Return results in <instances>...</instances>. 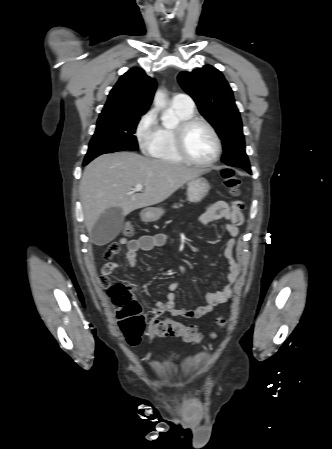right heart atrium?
Masks as SVG:
<instances>
[{
  "instance_id": "d8ad5b80",
  "label": "right heart atrium",
  "mask_w": 332,
  "mask_h": 449,
  "mask_svg": "<svg viewBox=\"0 0 332 449\" xmlns=\"http://www.w3.org/2000/svg\"><path fill=\"white\" fill-rule=\"evenodd\" d=\"M157 129L158 125L155 113L150 110L140 118L136 126V137L143 151H148L150 148L155 139Z\"/></svg>"
}]
</instances>
